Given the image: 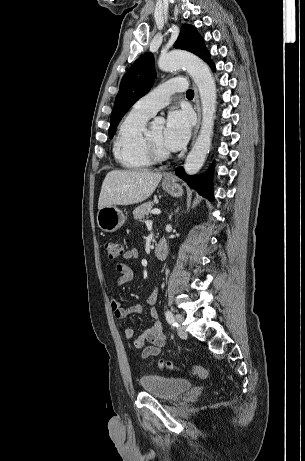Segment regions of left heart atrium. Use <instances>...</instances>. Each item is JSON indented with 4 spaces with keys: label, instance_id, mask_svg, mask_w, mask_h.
<instances>
[{
    "label": "left heart atrium",
    "instance_id": "obj_1",
    "mask_svg": "<svg viewBox=\"0 0 305 461\" xmlns=\"http://www.w3.org/2000/svg\"><path fill=\"white\" fill-rule=\"evenodd\" d=\"M192 117L188 111L176 110L168 115L163 131V144L168 151H178L188 142Z\"/></svg>",
    "mask_w": 305,
    "mask_h": 461
}]
</instances>
